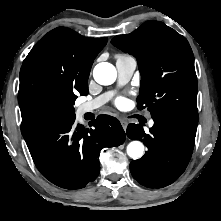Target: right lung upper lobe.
Wrapping results in <instances>:
<instances>
[{"label": "right lung upper lobe", "mask_w": 221, "mask_h": 221, "mask_svg": "<svg viewBox=\"0 0 221 221\" xmlns=\"http://www.w3.org/2000/svg\"><path fill=\"white\" fill-rule=\"evenodd\" d=\"M107 38H87L58 27L29 52L20 70L18 102L22 135L44 121L48 104L69 94L83 95L94 59Z\"/></svg>", "instance_id": "cb5924a9"}]
</instances>
